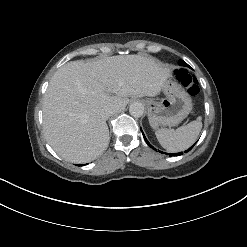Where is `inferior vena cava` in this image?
<instances>
[{
  "label": "inferior vena cava",
  "instance_id": "obj_1",
  "mask_svg": "<svg viewBox=\"0 0 247 247\" xmlns=\"http://www.w3.org/2000/svg\"><path fill=\"white\" fill-rule=\"evenodd\" d=\"M116 112L115 108L112 107H106L102 110V116L107 119L110 116H112Z\"/></svg>",
  "mask_w": 247,
  "mask_h": 247
}]
</instances>
